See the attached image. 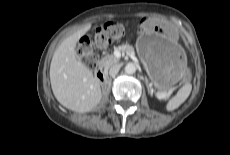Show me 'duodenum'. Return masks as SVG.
<instances>
[{"label":"duodenum","instance_id":"1","mask_svg":"<svg viewBox=\"0 0 230 155\" xmlns=\"http://www.w3.org/2000/svg\"><path fill=\"white\" fill-rule=\"evenodd\" d=\"M95 75L100 82H106L108 80V75L104 68L97 69Z\"/></svg>","mask_w":230,"mask_h":155}]
</instances>
